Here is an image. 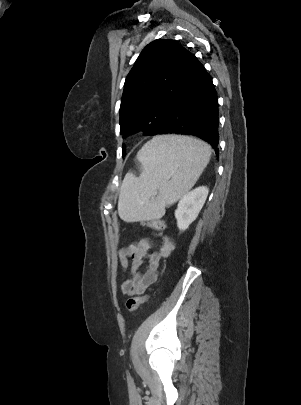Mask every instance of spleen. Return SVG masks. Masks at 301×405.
Listing matches in <instances>:
<instances>
[{
  "instance_id": "obj_1",
  "label": "spleen",
  "mask_w": 301,
  "mask_h": 405,
  "mask_svg": "<svg viewBox=\"0 0 301 405\" xmlns=\"http://www.w3.org/2000/svg\"><path fill=\"white\" fill-rule=\"evenodd\" d=\"M211 157L201 140L178 135L155 136L137 154L139 177L128 173L122 183L118 213L122 220L161 218L196 183Z\"/></svg>"
}]
</instances>
